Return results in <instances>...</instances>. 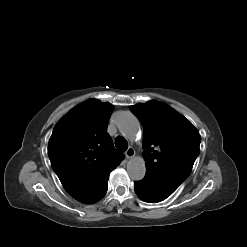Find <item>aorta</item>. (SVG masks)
I'll use <instances>...</instances> for the list:
<instances>
[{
	"mask_svg": "<svg viewBox=\"0 0 247 247\" xmlns=\"http://www.w3.org/2000/svg\"><path fill=\"white\" fill-rule=\"evenodd\" d=\"M116 124L119 131L130 141H134L139 132L137 118L131 112H121L116 117ZM127 172L134 180H141L145 176V162L141 157H134L127 164Z\"/></svg>",
	"mask_w": 247,
	"mask_h": 247,
	"instance_id": "aorta-1",
	"label": "aorta"
}]
</instances>
